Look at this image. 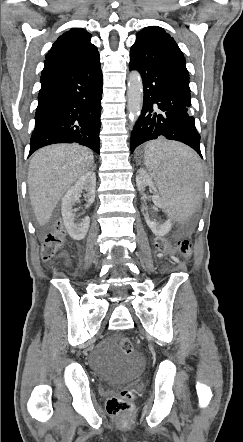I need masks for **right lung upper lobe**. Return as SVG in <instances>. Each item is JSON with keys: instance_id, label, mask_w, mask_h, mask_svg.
<instances>
[{"instance_id": "1", "label": "right lung upper lobe", "mask_w": 243, "mask_h": 442, "mask_svg": "<svg viewBox=\"0 0 243 442\" xmlns=\"http://www.w3.org/2000/svg\"><path fill=\"white\" fill-rule=\"evenodd\" d=\"M90 39L91 34L81 28L65 32L47 53L42 72L82 62L97 55V47L90 42Z\"/></svg>"}]
</instances>
